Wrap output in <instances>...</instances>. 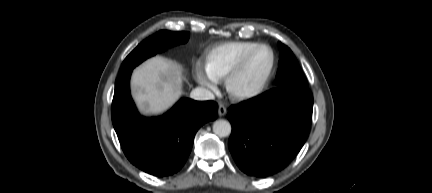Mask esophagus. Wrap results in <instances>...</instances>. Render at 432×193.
<instances>
[{
    "label": "esophagus",
    "instance_id": "esophagus-1",
    "mask_svg": "<svg viewBox=\"0 0 432 193\" xmlns=\"http://www.w3.org/2000/svg\"><path fill=\"white\" fill-rule=\"evenodd\" d=\"M226 113H227V109H226V107H225L223 104H219V107H218V115H219L220 117H222V116H224Z\"/></svg>",
    "mask_w": 432,
    "mask_h": 193
}]
</instances>
